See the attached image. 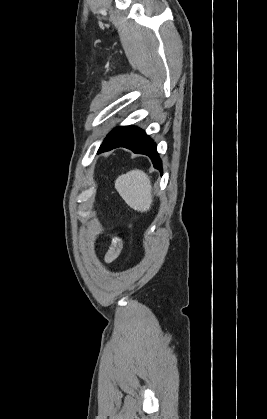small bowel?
<instances>
[{
	"instance_id": "1",
	"label": "small bowel",
	"mask_w": 267,
	"mask_h": 419,
	"mask_svg": "<svg viewBox=\"0 0 267 419\" xmlns=\"http://www.w3.org/2000/svg\"><path fill=\"white\" fill-rule=\"evenodd\" d=\"M121 249H122L121 241L119 239L114 240L105 255V262L107 263L113 262L119 256Z\"/></svg>"
}]
</instances>
